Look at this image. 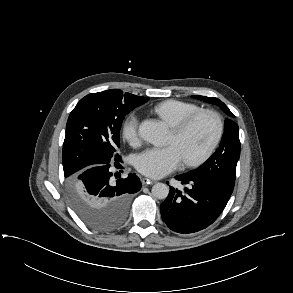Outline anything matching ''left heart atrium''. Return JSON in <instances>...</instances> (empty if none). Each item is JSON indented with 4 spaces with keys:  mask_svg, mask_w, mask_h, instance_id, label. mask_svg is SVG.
<instances>
[{
    "mask_svg": "<svg viewBox=\"0 0 293 293\" xmlns=\"http://www.w3.org/2000/svg\"><path fill=\"white\" fill-rule=\"evenodd\" d=\"M183 158L179 149L169 144L164 147H150L135 158L136 169L144 175L160 178L177 169Z\"/></svg>",
    "mask_w": 293,
    "mask_h": 293,
    "instance_id": "1",
    "label": "left heart atrium"
}]
</instances>
